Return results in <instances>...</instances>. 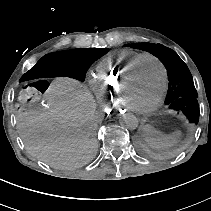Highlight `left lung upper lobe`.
Returning a JSON list of instances; mask_svg holds the SVG:
<instances>
[{
  "label": "left lung upper lobe",
  "instance_id": "1",
  "mask_svg": "<svg viewBox=\"0 0 211 211\" xmlns=\"http://www.w3.org/2000/svg\"><path fill=\"white\" fill-rule=\"evenodd\" d=\"M124 46L148 51L160 59L167 69L169 80L165 104L171 109L183 112L191 123L197 124L199 121V105L196 99L198 94L188 67L177 53L161 44L134 43Z\"/></svg>",
  "mask_w": 211,
  "mask_h": 211
}]
</instances>
